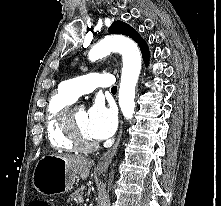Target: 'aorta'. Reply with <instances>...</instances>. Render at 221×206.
Instances as JSON below:
<instances>
[{"instance_id":"1","label":"aorta","mask_w":221,"mask_h":206,"mask_svg":"<svg viewBox=\"0 0 221 206\" xmlns=\"http://www.w3.org/2000/svg\"><path fill=\"white\" fill-rule=\"evenodd\" d=\"M111 52L122 55L123 68L119 88V106L126 119H131L135 108V87L141 70V54L131 39L122 35L106 36L88 53L90 61L101 59Z\"/></svg>"}]
</instances>
